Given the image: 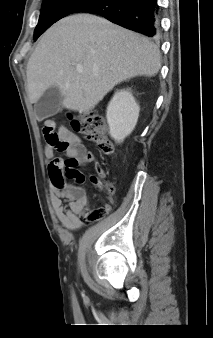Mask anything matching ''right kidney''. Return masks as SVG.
I'll list each match as a JSON object with an SVG mask.
<instances>
[{
	"mask_svg": "<svg viewBox=\"0 0 213 338\" xmlns=\"http://www.w3.org/2000/svg\"><path fill=\"white\" fill-rule=\"evenodd\" d=\"M140 107L129 90L116 92L107 107L106 119L110 136L122 142L134 130Z\"/></svg>",
	"mask_w": 213,
	"mask_h": 338,
	"instance_id": "ca27d5eb",
	"label": "right kidney"
}]
</instances>
